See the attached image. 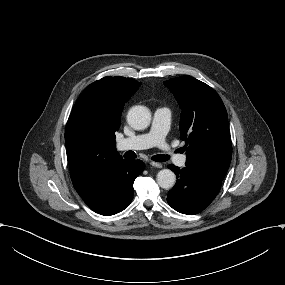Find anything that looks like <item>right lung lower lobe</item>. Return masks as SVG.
Wrapping results in <instances>:
<instances>
[{
    "mask_svg": "<svg viewBox=\"0 0 285 285\" xmlns=\"http://www.w3.org/2000/svg\"><path fill=\"white\" fill-rule=\"evenodd\" d=\"M141 160H124L88 199L87 206L101 215H114L124 210L133 198V183L143 171Z\"/></svg>",
    "mask_w": 285,
    "mask_h": 285,
    "instance_id": "right-lung-lower-lobe-1",
    "label": "right lung lower lobe"
}]
</instances>
